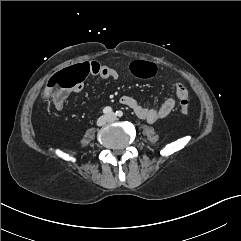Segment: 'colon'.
<instances>
[{"label":"colon","mask_w":241,"mask_h":241,"mask_svg":"<svg viewBox=\"0 0 241 241\" xmlns=\"http://www.w3.org/2000/svg\"><path fill=\"white\" fill-rule=\"evenodd\" d=\"M131 71L139 77H151L156 72V67L148 62L135 61L131 64ZM91 72V65L86 60H78L55 73L47 83L46 97L52 103L65 100V94L81 84ZM180 100V112L184 115L189 113V100L187 89L180 88L178 93Z\"/></svg>","instance_id":"1"}]
</instances>
